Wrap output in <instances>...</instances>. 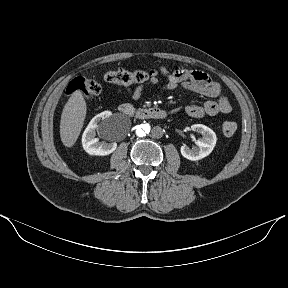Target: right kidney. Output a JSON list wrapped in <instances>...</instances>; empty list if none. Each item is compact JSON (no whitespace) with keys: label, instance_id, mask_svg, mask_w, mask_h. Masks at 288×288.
Here are the masks:
<instances>
[{"label":"right kidney","instance_id":"right-kidney-1","mask_svg":"<svg viewBox=\"0 0 288 288\" xmlns=\"http://www.w3.org/2000/svg\"><path fill=\"white\" fill-rule=\"evenodd\" d=\"M111 115L110 112H104L96 115L88 124L82 135V146L90 155L105 156L115 151L117 144L115 142H99L96 138V131L105 134L104 120Z\"/></svg>","mask_w":288,"mask_h":288}]
</instances>
